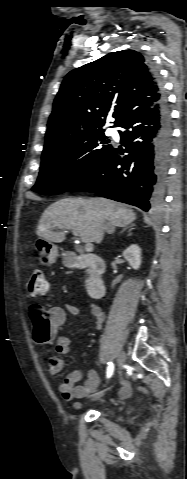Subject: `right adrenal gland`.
<instances>
[{"mask_svg": "<svg viewBox=\"0 0 187 479\" xmlns=\"http://www.w3.org/2000/svg\"><path fill=\"white\" fill-rule=\"evenodd\" d=\"M128 227L123 228L120 233H123Z\"/></svg>", "mask_w": 187, "mask_h": 479, "instance_id": "2a0ac1e0", "label": "right adrenal gland"}]
</instances>
